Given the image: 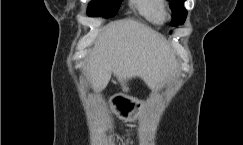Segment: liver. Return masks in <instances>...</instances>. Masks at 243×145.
Instances as JSON below:
<instances>
[{
    "label": "liver",
    "mask_w": 243,
    "mask_h": 145,
    "mask_svg": "<svg viewBox=\"0 0 243 145\" xmlns=\"http://www.w3.org/2000/svg\"><path fill=\"white\" fill-rule=\"evenodd\" d=\"M175 56L161 36L133 19L115 21L94 43L86 71L92 88L103 90L112 73L124 90L126 82L140 77L152 88L175 67Z\"/></svg>",
    "instance_id": "1"
}]
</instances>
